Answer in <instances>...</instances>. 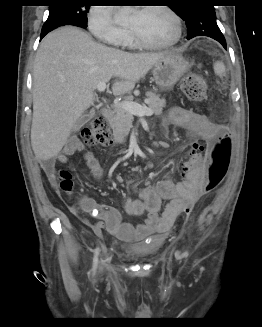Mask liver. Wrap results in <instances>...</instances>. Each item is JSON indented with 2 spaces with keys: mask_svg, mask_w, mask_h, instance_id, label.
<instances>
[{
  "mask_svg": "<svg viewBox=\"0 0 262 327\" xmlns=\"http://www.w3.org/2000/svg\"><path fill=\"white\" fill-rule=\"evenodd\" d=\"M166 55L107 47L76 27L48 34L33 69L31 145L36 158L47 161L60 153L74 123L95 100L99 83L116 78L113 94L130 93Z\"/></svg>",
  "mask_w": 262,
  "mask_h": 327,
  "instance_id": "liver-1",
  "label": "liver"
}]
</instances>
